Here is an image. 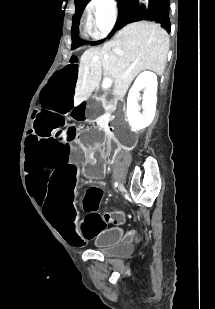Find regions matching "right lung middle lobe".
Instances as JSON below:
<instances>
[{"label":"right lung middle lobe","mask_w":215,"mask_h":309,"mask_svg":"<svg viewBox=\"0 0 215 309\" xmlns=\"http://www.w3.org/2000/svg\"><path fill=\"white\" fill-rule=\"evenodd\" d=\"M90 0H77L75 2L76 5V13L74 16V24L72 26V30H71V35H72V49H76L79 46L83 45L84 42L82 40H80L78 38V25L80 22V17L82 15V12L86 6V4L89 2ZM133 0H118V10H119V14L118 17L121 15V13L123 12V10L132 2ZM113 33V31L111 32V34ZM102 41H98V42H92L91 44H99Z\"/></svg>","instance_id":"1"}]
</instances>
